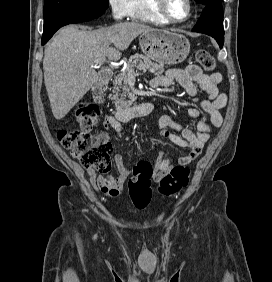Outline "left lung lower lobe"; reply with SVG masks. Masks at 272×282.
<instances>
[{
    "label": "left lung lower lobe",
    "instance_id": "0a47b994",
    "mask_svg": "<svg viewBox=\"0 0 272 282\" xmlns=\"http://www.w3.org/2000/svg\"><path fill=\"white\" fill-rule=\"evenodd\" d=\"M192 30L212 36L216 39L220 48H222L224 43V30L223 9L221 4L205 5L199 21Z\"/></svg>",
    "mask_w": 272,
    "mask_h": 282
}]
</instances>
